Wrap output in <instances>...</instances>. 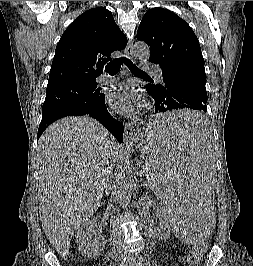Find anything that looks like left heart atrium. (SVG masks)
I'll return each mask as SVG.
<instances>
[{
    "mask_svg": "<svg viewBox=\"0 0 253 266\" xmlns=\"http://www.w3.org/2000/svg\"><path fill=\"white\" fill-rule=\"evenodd\" d=\"M108 101L116 111L125 115L138 113L144 105L142 94L132 83L114 86L108 94Z\"/></svg>",
    "mask_w": 253,
    "mask_h": 266,
    "instance_id": "obj_1",
    "label": "left heart atrium"
}]
</instances>
